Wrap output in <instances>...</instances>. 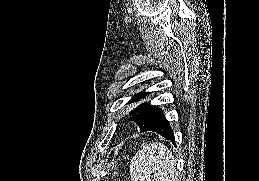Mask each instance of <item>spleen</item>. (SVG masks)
I'll use <instances>...</instances> for the list:
<instances>
[{"instance_id":"obj_1","label":"spleen","mask_w":259,"mask_h":181,"mask_svg":"<svg viewBox=\"0 0 259 181\" xmlns=\"http://www.w3.org/2000/svg\"><path fill=\"white\" fill-rule=\"evenodd\" d=\"M172 152L160 142L146 144L132 158L131 181H177Z\"/></svg>"}]
</instances>
